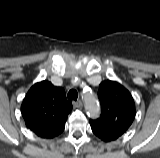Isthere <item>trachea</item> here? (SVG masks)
Listing matches in <instances>:
<instances>
[{
  "label": "trachea",
  "mask_w": 160,
  "mask_h": 158,
  "mask_svg": "<svg viewBox=\"0 0 160 158\" xmlns=\"http://www.w3.org/2000/svg\"><path fill=\"white\" fill-rule=\"evenodd\" d=\"M68 99H72V100H77L78 98V93L75 89H71L69 92H68V95H67Z\"/></svg>",
  "instance_id": "3493384b"
}]
</instances>
